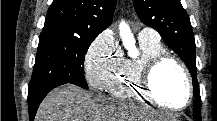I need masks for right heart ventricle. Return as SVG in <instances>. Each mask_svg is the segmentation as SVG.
<instances>
[{
	"label": "right heart ventricle",
	"mask_w": 217,
	"mask_h": 121,
	"mask_svg": "<svg viewBox=\"0 0 217 121\" xmlns=\"http://www.w3.org/2000/svg\"><path fill=\"white\" fill-rule=\"evenodd\" d=\"M141 56L138 59L123 58L120 67L106 86L108 93L121 100L144 98L139 85V73L144 62L165 53L164 46L158 42L140 40Z\"/></svg>",
	"instance_id": "1"
}]
</instances>
